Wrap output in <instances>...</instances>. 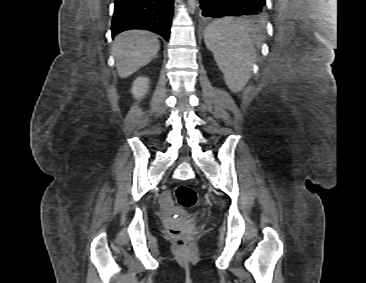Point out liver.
<instances>
[{
  "instance_id": "6515ba94",
  "label": "liver",
  "mask_w": 366,
  "mask_h": 283,
  "mask_svg": "<svg viewBox=\"0 0 366 283\" xmlns=\"http://www.w3.org/2000/svg\"><path fill=\"white\" fill-rule=\"evenodd\" d=\"M112 48L118 75L127 78L157 55L160 43L150 31L131 29L117 35Z\"/></svg>"
}]
</instances>
